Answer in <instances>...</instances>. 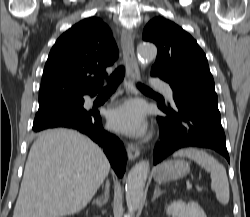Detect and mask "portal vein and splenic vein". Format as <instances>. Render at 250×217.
I'll use <instances>...</instances> for the list:
<instances>
[{"label":"portal vein and splenic vein","mask_w":250,"mask_h":217,"mask_svg":"<svg viewBox=\"0 0 250 217\" xmlns=\"http://www.w3.org/2000/svg\"><path fill=\"white\" fill-rule=\"evenodd\" d=\"M190 188H192V184L188 183L187 184V189H190Z\"/></svg>","instance_id":"obj_1"}]
</instances>
